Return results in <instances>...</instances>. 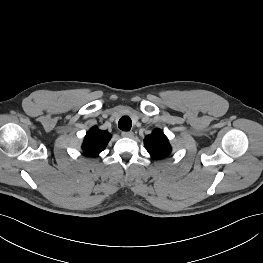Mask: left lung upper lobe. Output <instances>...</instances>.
<instances>
[{
  "mask_svg": "<svg viewBox=\"0 0 263 263\" xmlns=\"http://www.w3.org/2000/svg\"><path fill=\"white\" fill-rule=\"evenodd\" d=\"M144 145L154 159H163L171 153L169 141L160 129H155L147 135L144 139Z\"/></svg>",
  "mask_w": 263,
  "mask_h": 263,
  "instance_id": "left-lung-upper-lobe-1",
  "label": "left lung upper lobe"
}]
</instances>
